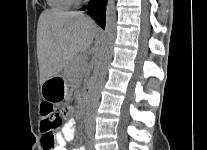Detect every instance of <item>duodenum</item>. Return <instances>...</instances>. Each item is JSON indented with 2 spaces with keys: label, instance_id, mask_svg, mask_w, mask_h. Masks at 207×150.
I'll use <instances>...</instances> for the list:
<instances>
[{
  "label": "duodenum",
  "instance_id": "1",
  "mask_svg": "<svg viewBox=\"0 0 207 150\" xmlns=\"http://www.w3.org/2000/svg\"><path fill=\"white\" fill-rule=\"evenodd\" d=\"M93 88L92 85H89L84 91V102L88 104L92 97Z\"/></svg>",
  "mask_w": 207,
  "mask_h": 150
}]
</instances>
